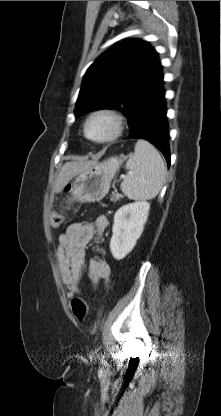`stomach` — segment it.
Here are the masks:
<instances>
[{
	"instance_id": "1",
	"label": "stomach",
	"mask_w": 221,
	"mask_h": 416,
	"mask_svg": "<svg viewBox=\"0 0 221 416\" xmlns=\"http://www.w3.org/2000/svg\"><path fill=\"white\" fill-rule=\"evenodd\" d=\"M121 163V158L110 157L74 176L70 188L73 200L80 203L102 200L107 195Z\"/></svg>"
}]
</instances>
